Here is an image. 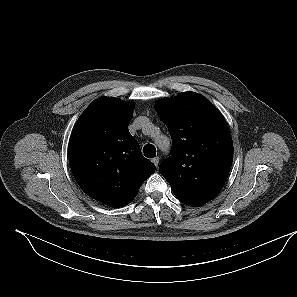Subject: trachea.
Segmentation results:
<instances>
[{"instance_id":"1","label":"trachea","mask_w":297,"mask_h":297,"mask_svg":"<svg viewBox=\"0 0 297 297\" xmlns=\"http://www.w3.org/2000/svg\"><path fill=\"white\" fill-rule=\"evenodd\" d=\"M144 156L154 158L156 156V148L152 144H146L143 148Z\"/></svg>"}]
</instances>
